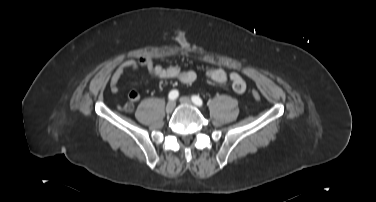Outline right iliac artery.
Instances as JSON below:
<instances>
[{"mask_svg": "<svg viewBox=\"0 0 376 202\" xmlns=\"http://www.w3.org/2000/svg\"><path fill=\"white\" fill-rule=\"evenodd\" d=\"M178 96H179V92L177 90H172V91H170L168 98L170 100H175V99H177Z\"/></svg>", "mask_w": 376, "mask_h": 202, "instance_id": "82829eb1", "label": "right iliac artery"}]
</instances>
